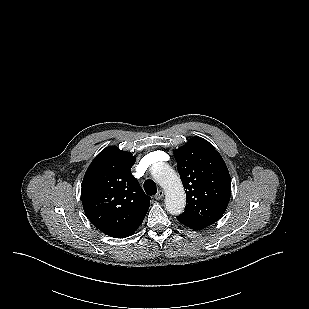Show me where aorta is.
I'll return each instance as SVG.
<instances>
[{"mask_svg": "<svg viewBox=\"0 0 309 309\" xmlns=\"http://www.w3.org/2000/svg\"><path fill=\"white\" fill-rule=\"evenodd\" d=\"M151 174L155 181L165 189V208L172 215H180L186 205L183 184L176 172L166 163L153 165Z\"/></svg>", "mask_w": 309, "mask_h": 309, "instance_id": "762f6f07", "label": "aorta"}]
</instances>
